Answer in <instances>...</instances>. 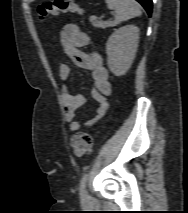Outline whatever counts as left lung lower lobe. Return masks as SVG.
<instances>
[{
	"label": "left lung lower lobe",
	"mask_w": 188,
	"mask_h": 213,
	"mask_svg": "<svg viewBox=\"0 0 188 213\" xmlns=\"http://www.w3.org/2000/svg\"><path fill=\"white\" fill-rule=\"evenodd\" d=\"M146 9L149 15L152 12V0H137Z\"/></svg>",
	"instance_id": "1"
}]
</instances>
